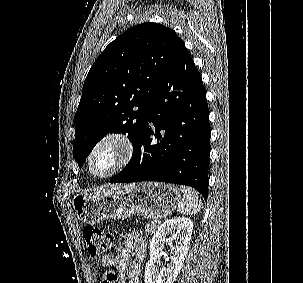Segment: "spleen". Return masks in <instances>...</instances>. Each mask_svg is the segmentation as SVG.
Wrapping results in <instances>:
<instances>
[{
  "label": "spleen",
  "mask_w": 303,
  "mask_h": 283,
  "mask_svg": "<svg viewBox=\"0 0 303 283\" xmlns=\"http://www.w3.org/2000/svg\"><path fill=\"white\" fill-rule=\"evenodd\" d=\"M181 193L183 195V203L179 206L181 214H197L202 208V201L199 193L194 189L185 186H181Z\"/></svg>",
  "instance_id": "spleen-1"
}]
</instances>
